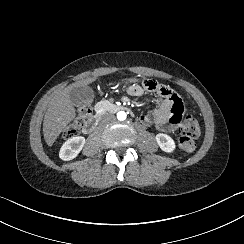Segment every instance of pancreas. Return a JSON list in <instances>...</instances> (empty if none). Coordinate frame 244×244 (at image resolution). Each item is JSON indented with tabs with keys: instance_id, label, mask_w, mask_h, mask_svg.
<instances>
[{
	"instance_id": "1",
	"label": "pancreas",
	"mask_w": 244,
	"mask_h": 244,
	"mask_svg": "<svg viewBox=\"0 0 244 244\" xmlns=\"http://www.w3.org/2000/svg\"><path fill=\"white\" fill-rule=\"evenodd\" d=\"M101 103H102V105L105 106V107H109L110 104H111V102L108 101V100H103V101H101Z\"/></svg>"
}]
</instances>
